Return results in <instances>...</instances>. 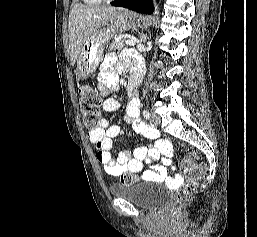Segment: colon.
Instances as JSON below:
<instances>
[{
  "label": "colon",
  "instance_id": "obj_1",
  "mask_svg": "<svg viewBox=\"0 0 257 237\" xmlns=\"http://www.w3.org/2000/svg\"><path fill=\"white\" fill-rule=\"evenodd\" d=\"M80 105L84 123L87 127L94 129L98 126L100 120L101 97L95 89L89 85L80 87ZM184 163L181 168L182 182L176 192L175 200L172 205L170 216L174 220H179L183 216L184 208L188 204L191 194L195 191L197 182L205 174L204 165H196L191 157L186 153ZM135 181V178L129 174H122L121 183L129 184Z\"/></svg>",
  "mask_w": 257,
  "mask_h": 237
}]
</instances>
